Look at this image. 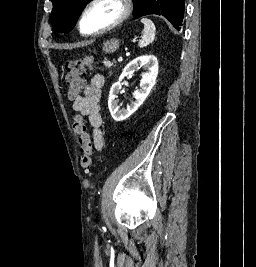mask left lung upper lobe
<instances>
[{"label": "left lung upper lobe", "instance_id": "1", "mask_svg": "<svg viewBox=\"0 0 256 267\" xmlns=\"http://www.w3.org/2000/svg\"><path fill=\"white\" fill-rule=\"evenodd\" d=\"M53 10L51 20L53 27L60 33L71 31L84 7L91 0H51ZM135 17L157 14L167 18L173 25L175 19V0H134Z\"/></svg>", "mask_w": 256, "mask_h": 267}]
</instances>
